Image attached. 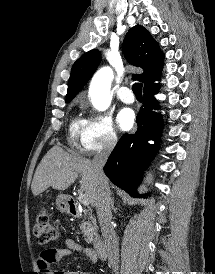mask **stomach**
Listing matches in <instances>:
<instances>
[{
  "instance_id": "stomach-1",
  "label": "stomach",
  "mask_w": 215,
  "mask_h": 274,
  "mask_svg": "<svg viewBox=\"0 0 215 274\" xmlns=\"http://www.w3.org/2000/svg\"><path fill=\"white\" fill-rule=\"evenodd\" d=\"M67 199H68V196L60 194L58 195L56 200V204L58 208L63 212L68 211Z\"/></svg>"
}]
</instances>
